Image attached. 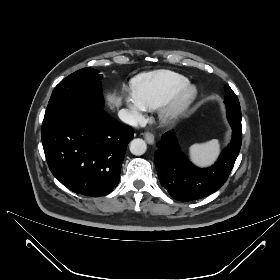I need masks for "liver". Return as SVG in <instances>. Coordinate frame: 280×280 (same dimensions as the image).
<instances>
[{"instance_id": "6515ba94", "label": "liver", "mask_w": 280, "mask_h": 280, "mask_svg": "<svg viewBox=\"0 0 280 280\" xmlns=\"http://www.w3.org/2000/svg\"><path fill=\"white\" fill-rule=\"evenodd\" d=\"M107 99L111 107H118L121 105V98L116 97L115 94L107 95Z\"/></svg>"}]
</instances>
